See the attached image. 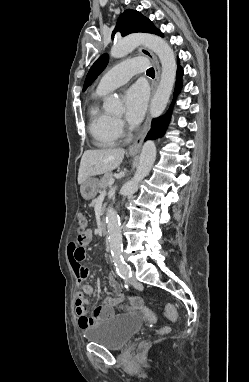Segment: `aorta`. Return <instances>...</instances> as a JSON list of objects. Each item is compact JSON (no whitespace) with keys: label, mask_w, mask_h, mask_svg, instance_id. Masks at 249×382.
<instances>
[{"label":"aorta","mask_w":249,"mask_h":382,"mask_svg":"<svg viewBox=\"0 0 249 382\" xmlns=\"http://www.w3.org/2000/svg\"><path fill=\"white\" fill-rule=\"evenodd\" d=\"M138 44L151 49L159 57L162 65L160 83L150 105L151 116L159 117L166 108L175 83L177 69L175 55L165 40L152 34H134L122 38L114 43L110 54L114 58H122L133 51ZM119 107L120 100L115 95H111L104 104L107 111H116ZM155 159L156 146L153 141L149 140L143 145L134 177L121 188L120 194L126 196L134 194L138 190L139 183L149 174ZM106 223L110 251L112 255L120 257L122 253L120 218L115 209L111 207L106 213Z\"/></svg>","instance_id":"obj_1"}]
</instances>
